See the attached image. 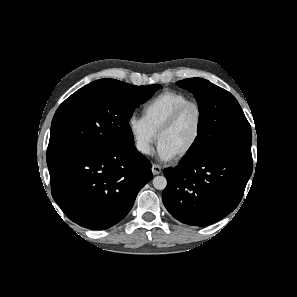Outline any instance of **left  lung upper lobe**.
<instances>
[{"label":"left lung upper lobe","instance_id":"1","mask_svg":"<svg viewBox=\"0 0 297 297\" xmlns=\"http://www.w3.org/2000/svg\"><path fill=\"white\" fill-rule=\"evenodd\" d=\"M176 84L193 93L200 112L198 137L183 159L221 153L252 162L251 127L235 97L202 78Z\"/></svg>","mask_w":297,"mask_h":297}]
</instances>
